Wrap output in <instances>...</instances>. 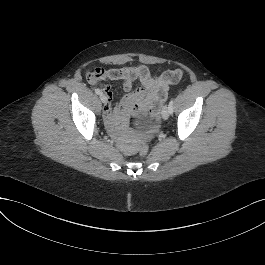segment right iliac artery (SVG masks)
Instances as JSON below:
<instances>
[{"instance_id": "1", "label": "right iliac artery", "mask_w": 265, "mask_h": 265, "mask_svg": "<svg viewBox=\"0 0 265 265\" xmlns=\"http://www.w3.org/2000/svg\"><path fill=\"white\" fill-rule=\"evenodd\" d=\"M95 93L100 95V94H102V91L100 89H95Z\"/></svg>"}]
</instances>
